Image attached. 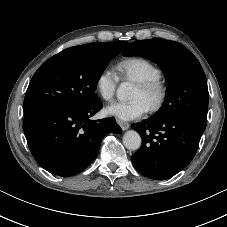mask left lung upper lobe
Returning <instances> with one entry per match:
<instances>
[{
  "label": "left lung upper lobe",
  "instance_id": "5c2ea615",
  "mask_svg": "<svg viewBox=\"0 0 227 227\" xmlns=\"http://www.w3.org/2000/svg\"><path fill=\"white\" fill-rule=\"evenodd\" d=\"M138 55L159 65L168 83L165 104L151 117L164 119L187 116L205 122L208 87L205 73L196 57L183 45L163 39L138 40L122 52Z\"/></svg>",
  "mask_w": 227,
  "mask_h": 227
}]
</instances>
